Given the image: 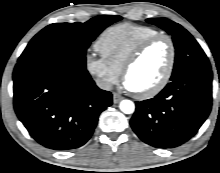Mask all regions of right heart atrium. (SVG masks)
Wrapping results in <instances>:
<instances>
[{"instance_id": "1", "label": "right heart atrium", "mask_w": 220, "mask_h": 173, "mask_svg": "<svg viewBox=\"0 0 220 173\" xmlns=\"http://www.w3.org/2000/svg\"><path fill=\"white\" fill-rule=\"evenodd\" d=\"M87 71L96 78L97 83L103 89H109L115 85L120 78V71L103 57H97L88 53L85 58Z\"/></svg>"}]
</instances>
